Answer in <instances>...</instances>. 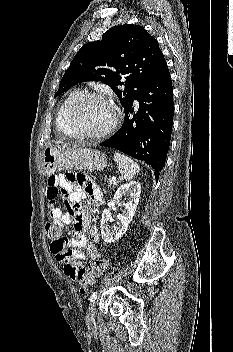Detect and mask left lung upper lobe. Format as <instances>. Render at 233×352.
<instances>
[{"instance_id": "obj_1", "label": "left lung upper lobe", "mask_w": 233, "mask_h": 352, "mask_svg": "<svg viewBox=\"0 0 233 352\" xmlns=\"http://www.w3.org/2000/svg\"><path fill=\"white\" fill-rule=\"evenodd\" d=\"M166 65L157 40L142 26H115L100 40L82 46L60 81L55 97L77 83L101 81L113 89L125 108ZM121 75H127L125 82Z\"/></svg>"}]
</instances>
